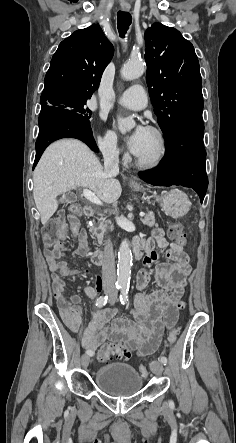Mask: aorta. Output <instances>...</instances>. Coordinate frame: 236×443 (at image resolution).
Returning a JSON list of instances; mask_svg holds the SVG:
<instances>
[{
  "instance_id": "1",
  "label": "aorta",
  "mask_w": 236,
  "mask_h": 443,
  "mask_svg": "<svg viewBox=\"0 0 236 443\" xmlns=\"http://www.w3.org/2000/svg\"><path fill=\"white\" fill-rule=\"evenodd\" d=\"M144 73V63L142 61L129 62L121 68V76L129 81L142 76ZM135 126L132 118H118V128L122 134L131 130ZM132 268V253L129 242L125 239L122 241L118 252L117 264V285L121 288L129 286Z\"/></svg>"
}]
</instances>
